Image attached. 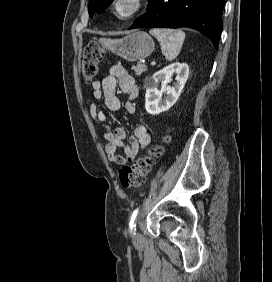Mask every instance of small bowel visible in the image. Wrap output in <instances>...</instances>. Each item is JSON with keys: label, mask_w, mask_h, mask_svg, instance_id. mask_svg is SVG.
Returning a JSON list of instances; mask_svg holds the SVG:
<instances>
[{"label": "small bowel", "mask_w": 272, "mask_h": 282, "mask_svg": "<svg viewBox=\"0 0 272 282\" xmlns=\"http://www.w3.org/2000/svg\"><path fill=\"white\" fill-rule=\"evenodd\" d=\"M117 88L128 98L125 104L126 112L133 114L136 109L134 100L139 95V87L129 71L123 66L114 65L110 67L108 74L101 81H95L92 84L93 97L96 100H104L106 107L110 111L117 112L121 108V102L116 95ZM90 113L97 123L106 124V116L97 104L93 103L90 106ZM104 138L107 141L105 151L108 160L118 165L133 161L139 151L151 142V136L144 125H139L134 129V134L127 145L125 144L126 131L120 126L112 129L106 125ZM118 148H124V153H117Z\"/></svg>", "instance_id": "small-bowel-1"}]
</instances>
